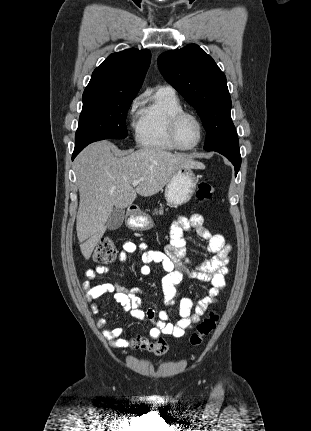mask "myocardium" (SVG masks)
<instances>
[{
	"mask_svg": "<svg viewBox=\"0 0 311 431\" xmlns=\"http://www.w3.org/2000/svg\"><path fill=\"white\" fill-rule=\"evenodd\" d=\"M186 116H193L197 119V121L200 124L201 127V135L199 136L198 141L191 146H184L181 144L180 139H179V135H178V129H179V125L181 120L186 117ZM207 129H206V125L205 122L203 120V118L196 112L190 111V110H182L177 112L176 114H174L171 118L170 121V137L174 143V145L180 149V150H192L196 147H198L204 136L206 135Z\"/></svg>",
	"mask_w": 311,
	"mask_h": 431,
	"instance_id": "f54148a6",
	"label": "myocardium"
}]
</instances>
